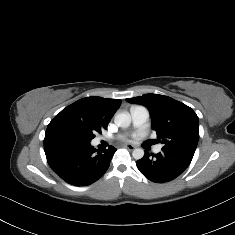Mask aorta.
<instances>
[{"instance_id":"obj_1","label":"aorta","mask_w":235,"mask_h":235,"mask_svg":"<svg viewBox=\"0 0 235 235\" xmlns=\"http://www.w3.org/2000/svg\"><path fill=\"white\" fill-rule=\"evenodd\" d=\"M114 122L118 127H129L131 123V116L128 112L118 113L114 117ZM132 155L134 159H141L144 156V150L142 148H136L133 150Z\"/></svg>"}]
</instances>
